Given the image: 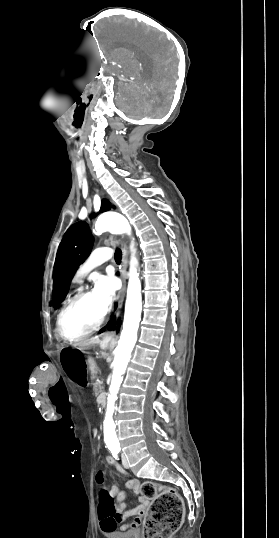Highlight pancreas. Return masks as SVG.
<instances>
[{
  "label": "pancreas",
  "instance_id": "obj_1",
  "mask_svg": "<svg viewBox=\"0 0 279 538\" xmlns=\"http://www.w3.org/2000/svg\"><path fill=\"white\" fill-rule=\"evenodd\" d=\"M94 395L96 397H100L102 395V391H103V388H102V384L100 383V381H97L96 384H94Z\"/></svg>",
  "mask_w": 279,
  "mask_h": 538
}]
</instances>
